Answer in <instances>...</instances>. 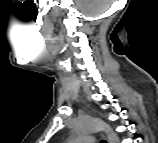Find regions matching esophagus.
<instances>
[{"instance_id":"1","label":"esophagus","mask_w":158,"mask_h":143,"mask_svg":"<svg viewBox=\"0 0 158 143\" xmlns=\"http://www.w3.org/2000/svg\"><path fill=\"white\" fill-rule=\"evenodd\" d=\"M102 141L103 143H107L108 142V139L106 137V135L104 133H102Z\"/></svg>"}]
</instances>
